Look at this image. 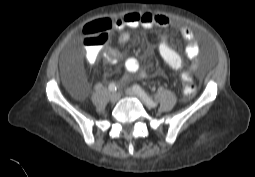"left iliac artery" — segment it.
Wrapping results in <instances>:
<instances>
[{"instance_id": "44dca946", "label": "left iliac artery", "mask_w": 255, "mask_h": 177, "mask_svg": "<svg viewBox=\"0 0 255 177\" xmlns=\"http://www.w3.org/2000/svg\"><path fill=\"white\" fill-rule=\"evenodd\" d=\"M133 89L142 96V98L149 104L151 107H155L157 104L147 95V93L138 85H134Z\"/></svg>"}]
</instances>
